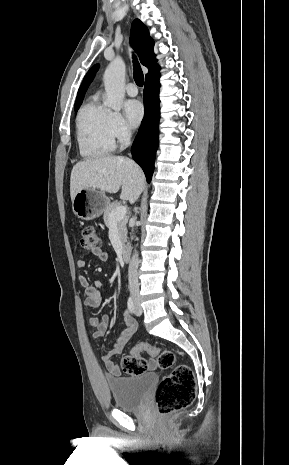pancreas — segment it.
Masks as SVG:
<instances>
[{
    "label": "pancreas",
    "instance_id": "cf45deb5",
    "mask_svg": "<svg viewBox=\"0 0 289 465\" xmlns=\"http://www.w3.org/2000/svg\"><path fill=\"white\" fill-rule=\"evenodd\" d=\"M120 206H121V204L119 202L115 201V202L109 204L107 206V208L105 209L103 218H104L105 225L107 227H109L110 223H111V219H110L111 213ZM126 224H127V218H123L122 220L116 222L118 235H119V238H120L121 243L123 245L127 241V227H126Z\"/></svg>",
    "mask_w": 289,
    "mask_h": 465
}]
</instances>
